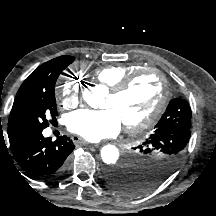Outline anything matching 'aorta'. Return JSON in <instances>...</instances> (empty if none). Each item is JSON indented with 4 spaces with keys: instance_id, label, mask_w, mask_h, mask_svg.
<instances>
[{
    "instance_id": "aorta-1",
    "label": "aorta",
    "mask_w": 216,
    "mask_h": 216,
    "mask_svg": "<svg viewBox=\"0 0 216 216\" xmlns=\"http://www.w3.org/2000/svg\"><path fill=\"white\" fill-rule=\"evenodd\" d=\"M106 92L102 87H92L91 90H85L83 93L84 100L92 108L99 107ZM102 161L108 165H113L119 158V150L114 145H105L101 149Z\"/></svg>"
}]
</instances>
